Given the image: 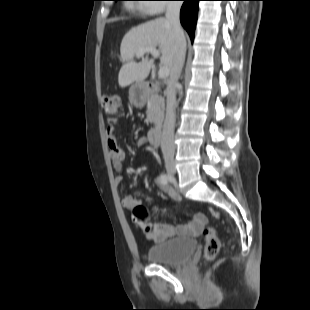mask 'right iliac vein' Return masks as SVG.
I'll use <instances>...</instances> for the list:
<instances>
[{
	"label": "right iliac vein",
	"instance_id": "63e3f726",
	"mask_svg": "<svg viewBox=\"0 0 310 310\" xmlns=\"http://www.w3.org/2000/svg\"><path fill=\"white\" fill-rule=\"evenodd\" d=\"M165 167H166L169 175L173 176L176 173L175 163L171 157L165 158Z\"/></svg>",
	"mask_w": 310,
	"mask_h": 310
}]
</instances>
